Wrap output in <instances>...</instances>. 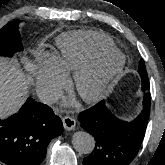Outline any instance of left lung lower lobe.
<instances>
[{"instance_id":"left-lung-lower-lobe-1","label":"left lung lower lobe","mask_w":165,"mask_h":165,"mask_svg":"<svg viewBox=\"0 0 165 165\" xmlns=\"http://www.w3.org/2000/svg\"><path fill=\"white\" fill-rule=\"evenodd\" d=\"M142 112L131 122L115 117L102 100L82 111L81 127L94 136V151L83 159V165H128L137 155L143 141L150 106L143 104Z\"/></svg>"}]
</instances>
